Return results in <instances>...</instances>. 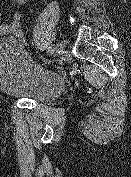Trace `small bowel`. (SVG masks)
Returning a JSON list of instances; mask_svg holds the SVG:
<instances>
[{"instance_id": "obj_1", "label": "small bowel", "mask_w": 131, "mask_h": 177, "mask_svg": "<svg viewBox=\"0 0 131 177\" xmlns=\"http://www.w3.org/2000/svg\"><path fill=\"white\" fill-rule=\"evenodd\" d=\"M13 1L15 6L18 9H20L25 5L27 0H13ZM7 36H12L11 27L8 22L0 24V37H7Z\"/></svg>"}]
</instances>
